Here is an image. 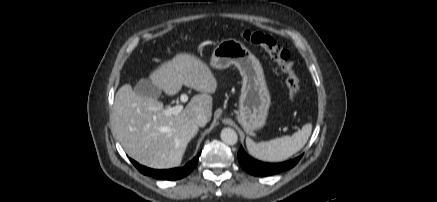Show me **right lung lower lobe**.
Instances as JSON below:
<instances>
[{"label": "right lung lower lobe", "instance_id": "obj_1", "mask_svg": "<svg viewBox=\"0 0 437 202\" xmlns=\"http://www.w3.org/2000/svg\"><path fill=\"white\" fill-rule=\"evenodd\" d=\"M199 153L192 161L188 162L184 167L173 168L169 170H156L140 165L136 161L130 159L133 165L144 175L152 176L160 180H177L187 176L197 165Z\"/></svg>", "mask_w": 437, "mask_h": 202}]
</instances>
